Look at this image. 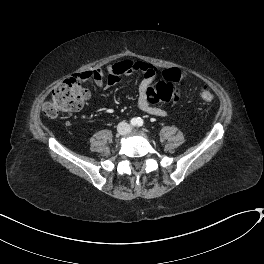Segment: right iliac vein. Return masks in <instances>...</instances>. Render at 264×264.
Segmentation results:
<instances>
[{
  "instance_id": "63e3f726",
  "label": "right iliac vein",
  "mask_w": 264,
  "mask_h": 264,
  "mask_svg": "<svg viewBox=\"0 0 264 264\" xmlns=\"http://www.w3.org/2000/svg\"><path fill=\"white\" fill-rule=\"evenodd\" d=\"M119 133H120L121 135H125V134L127 133V128H126V126H122V128L119 130Z\"/></svg>"
}]
</instances>
